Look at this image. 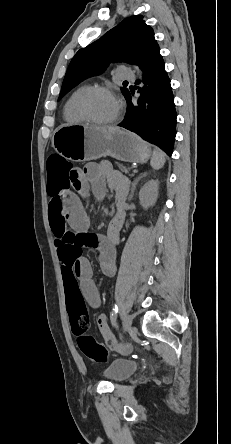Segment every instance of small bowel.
<instances>
[{
	"mask_svg": "<svg viewBox=\"0 0 231 444\" xmlns=\"http://www.w3.org/2000/svg\"><path fill=\"white\" fill-rule=\"evenodd\" d=\"M86 195L89 190L102 197L108 190L115 192L118 207L105 234L89 232L90 220L78 196L70 191ZM62 194L60 202L49 205V222L61 262V272L66 294L79 293L92 308H98L100 297L93 281L89 261L83 256L82 248L89 247L99 251V264L102 272L113 275L117 266L116 247L120 241V230L124 220L123 200L126 183L109 165L89 164L78 171L71 179V186ZM97 326L107 341H115L109 329L107 318L99 314Z\"/></svg>",
	"mask_w": 231,
	"mask_h": 444,
	"instance_id": "obj_1",
	"label": "small bowel"
}]
</instances>
